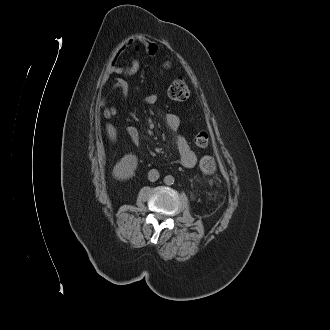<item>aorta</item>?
Masks as SVG:
<instances>
[{
    "label": "aorta",
    "instance_id": "obj_1",
    "mask_svg": "<svg viewBox=\"0 0 330 330\" xmlns=\"http://www.w3.org/2000/svg\"><path fill=\"white\" fill-rule=\"evenodd\" d=\"M164 183L166 185H172L174 183V178L171 175H167L164 178Z\"/></svg>",
    "mask_w": 330,
    "mask_h": 330
}]
</instances>
